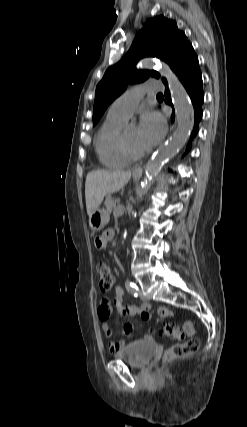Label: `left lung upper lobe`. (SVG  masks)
<instances>
[{
  "instance_id": "1",
  "label": "left lung upper lobe",
  "mask_w": 247,
  "mask_h": 427,
  "mask_svg": "<svg viewBox=\"0 0 247 427\" xmlns=\"http://www.w3.org/2000/svg\"><path fill=\"white\" fill-rule=\"evenodd\" d=\"M157 57L168 63L178 75L196 54L184 32L175 21L163 15L149 19L140 30L129 51L116 64L110 66L96 87L93 124H97L108 105L126 89L128 82H142L148 77L159 78L157 71L137 70L136 63L144 57ZM163 82L166 79L163 78Z\"/></svg>"
}]
</instances>
